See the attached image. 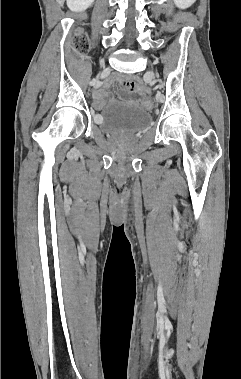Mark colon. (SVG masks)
<instances>
[{
    "label": "colon",
    "mask_w": 241,
    "mask_h": 379,
    "mask_svg": "<svg viewBox=\"0 0 241 379\" xmlns=\"http://www.w3.org/2000/svg\"><path fill=\"white\" fill-rule=\"evenodd\" d=\"M87 39L84 35L79 34L74 42V48L78 53H81L84 51L86 46ZM165 50L169 51L171 50V45L167 44L165 45ZM167 54V53H166ZM141 109H150L151 108V99L149 95H144L142 102H141Z\"/></svg>",
    "instance_id": "obj_1"
}]
</instances>
